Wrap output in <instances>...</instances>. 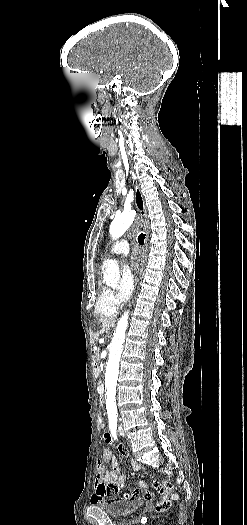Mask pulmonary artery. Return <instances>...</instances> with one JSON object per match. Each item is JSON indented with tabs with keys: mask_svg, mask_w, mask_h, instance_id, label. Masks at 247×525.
Wrapping results in <instances>:
<instances>
[{
	"mask_svg": "<svg viewBox=\"0 0 247 525\" xmlns=\"http://www.w3.org/2000/svg\"><path fill=\"white\" fill-rule=\"evenodd\" d=\"M128 248H129L128 240L121 239L111 244V246L109 247L108 254L109 255L120 254L122 257H127L129 255Z\"/></svg>",
	"mask_w": 247,
	"mask_h": 525,
	"instance_id": "obj_1",
	"label": "pulmonary artery"
}]
</instances>
